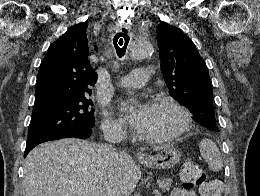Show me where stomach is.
Returning <instances> with one entry per match:
<instances>
[{"label":"stomach","instance_id":"0dacf381","mask_svg":"<svg viewBox=\"0 0 260 196\" xmlns=\"http://www.w3.org/2000/svg\"><path fill=\"white\" fill-rule=\"evenodd\" d=\"M141 164L148 166V168H155V170H169L174 168L176 164H179L181 160V154L177 148L173 146H161L160 152L156 156H148L146 160L138 158Z\"/></svg>","mask_w":260,"mask_h":196}]
</instances>
